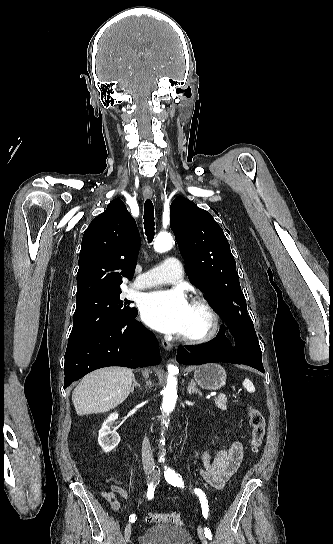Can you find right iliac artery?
Listing matches in <instances>:
<instances>
[{"label":"right iliac artery","mask_w":333,"mask_h":544,"mask_svg":"<svg viewBox=\"0 0 333 544\" xmlns=\"http://www.w3.org/2000/svg\"><path fill=\"white\" fill-rule=\"evenodd\" d=\"M155 487H156L155 482H154V480H152V481L150 482V484L148 485V491H147V497H148V499H152V498L154 497ZM135 520H136L135 515H134V514H131V515L129 516V521H130V522H135Z\"/></svg>","instance_id":"1"}]
</instances>
